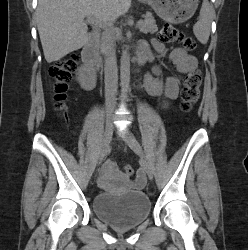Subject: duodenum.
I'll list each match as a JSON object with an SVG mask.
<instances>
[{"mask_svg":"<svg viewBox=\"0 0 248 250\" xmlns=\"http://www.w3.org/2000/svg\"><path fill=\"white\" fill-rule=\"evenodd\" d=\"M99 48V35L96 31L92 32L89 36L82 52L83 62L92 69L99 70L101 67L100 60L98 58ZM148 60V56L139 52L133 58V63L136 66L144 64Z\"/></svg>","mask_w":248,"mask_h":250,"instance_id":"410a0bca","label":"duodenum"}]
</instances>
